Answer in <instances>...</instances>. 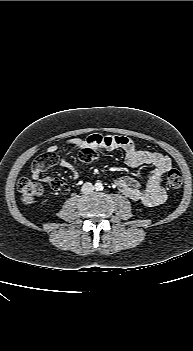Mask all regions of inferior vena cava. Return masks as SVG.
I'll return each instance as SVG.
<instances>
[{
  "label": "inferior vena cava",
  "mask_w": 193,
  "mask_h": 351,
  "mask_svg": "<svg viewBox=\"0 0 193 351\" xmlns=\"http://www.w3.org/2000/svg\"><path fill=\"white\" fill-rule=\"evenodd\" d=\"M94 190V186L92 183L90 182H86L82 185L81 187V191L84 193V194H89L91 193L92 191Z\"/></svg>",
  "instance_id": "602c4592"
}]
</instances>
